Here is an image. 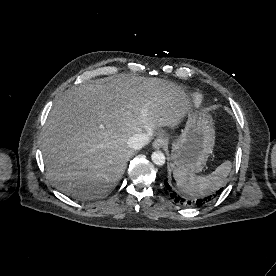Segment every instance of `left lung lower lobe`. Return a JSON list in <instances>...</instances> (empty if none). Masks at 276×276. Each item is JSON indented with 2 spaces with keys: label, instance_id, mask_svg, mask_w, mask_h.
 <instances>
[{
  "label": "left lung lower lobe",
  "instance_id": "left-lung-lower-lobe-1",
  "mask_svg": "<svg viewBox=\"0 0 276 276\" xmlns=\"http://www.w3.org/2000/svg\"><path fill=\"white\" fill-rule=\"evenodd\" d=\"M164 189L166 192L170 195V197L176 202L184 206H201L204 203H208L211 200H213L218 194L221 193L223 188L219 189L218 191H214L210 194L205 195V197L197 199V200H189L187 198H183L182 196H179L171 187L168 180H164Z\"/></svg>",
  "mask_w": 276,
  "mask_h": 276
}]
</instances>
